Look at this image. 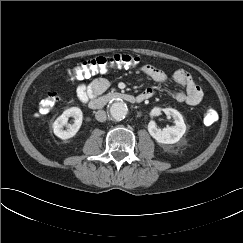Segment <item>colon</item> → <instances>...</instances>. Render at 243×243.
<instances>
[{
    "label": "colon",
    "mask_w": 243,
    "mask_h": 243,
    "mask_svg": "<svg viewBox=\"0 0 243 243\" xmlns=\"http://www.w3.org/2000/svg\"><path fill=\"white\" fill-rule=\"evenodd\" d=\"M140 63V58L128 53H117L110 57H96L78 64L69 74L77 79L89 78L90 76L105 72L109 67L135 66ZM58 96L54 92H49L41 100L38 107V114H45L50 111L56 102ZM218 119V114L213 108H206L203 111V122L211 125Z\"/></svg>",
    "instance_id": "1"
}]
</instances>
